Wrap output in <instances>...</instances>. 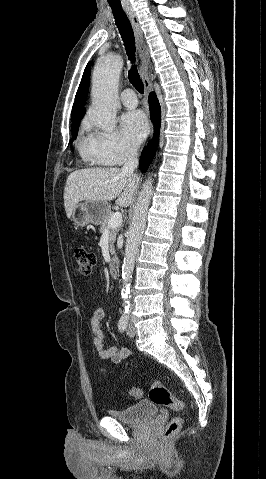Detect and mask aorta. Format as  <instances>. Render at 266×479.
Segmentation results:
<instances>
[{"label":"aorta","instance_id":"1","mask_svg":"<svg viewBox=\"0 0 266 479\" xmlns=\"http://www.w3.org/2000/svg\"><path fill=\"white\" fill-rule=\"evenodd\" d=\"M123 67L119 55H109L98 60L93 73L92 107L89 117L99 128L112 132L116 126L118 105V82ZM149 189L144 193L140 208L127 232L125 254L122 265L121 296L125 312L129 311L131 299V279L138 248L144 231V216L148 205Z\"/></svg>","mask_w":266,"mask_h":479}]
</instances>
